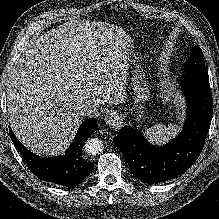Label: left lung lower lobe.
<instances>
[{
    "label": "left lung lower lobe",
    "instance_id": "obj_1",
    "mask_svg": "<svg viewBox=\"0 0 219 219\" xmlns=\"http://www.w3.org/2000/svg\"><path fill=\"white\" fill-rule=\"evenodd\" d=\"M187 117L181 134L163 147H152L132 127L120 129L113 141L132 173L144 183L156 184L183 174L199 157L209 131L213 102L209 76L185 73Z\"/></svg>",
    "mask_w": 219,
    "mask_h": 219
}]
</instances>
